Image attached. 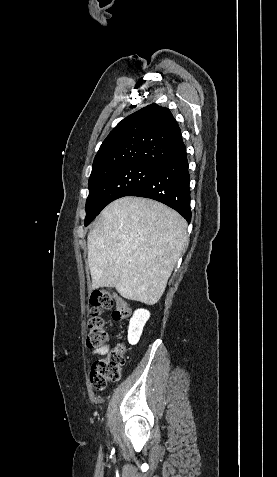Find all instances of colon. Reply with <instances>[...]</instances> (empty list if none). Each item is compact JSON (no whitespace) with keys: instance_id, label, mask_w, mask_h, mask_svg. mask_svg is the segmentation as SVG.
<instances>
[{"instance_id":"obj_1","label":"colon","mask_w":277,"mask_h":477,"mask_svg":"<svg viewBox=\"0 0 277 477\" xmlns=\"http://www.w3.org/2000/svg\"><path fill=\"white\" fill-rule=\"evenodd\" d=\"M90 306L87 345L90 348H99L110 340L102 311L112 310V318L115 321H124L129 316V307L127 302L111 289L94 291L90 296ZM125 354V345L119 344L109 350L105 357L92 364L90 382L95 390L101 391L108 383L119 379L125 363Z\"/></svg>"}]
</instances>
